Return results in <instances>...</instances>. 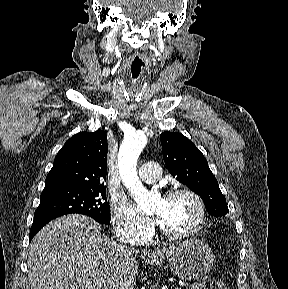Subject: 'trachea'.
<instances>
[{
    "label": "trachea",
    "mask_w": 288,
    "mask_h": 289,
    "mask_svg": "<svg viewBox=\"0 0 288 289\" xmlns=\"http://www.w3.org/2000/svg\"><path fill=\"white\" fill-rule=\"evenodd\" d=\"M146 69V62L140 55H135L129 65L130 82L128 94L130 99H135L137 96V84Z\"/></svg>",
    "instance_id": "1"
}]
</instances>
